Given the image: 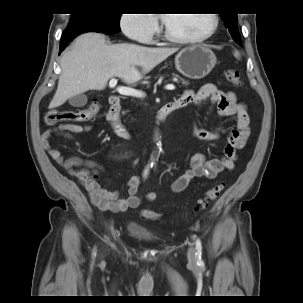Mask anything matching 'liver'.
<instances>
[{
    "mask_svg": "<svg viewBox=\"0 0 303 303\" xmlns=\"http://www.w3.org/2000/svg\"><path fill=\"white\" fill-rule=\"evenodd\" d=\"M176 51L177 48H151L127 43L109 45L102 34H82L62 56L61 75L49 108L59 107L71 97L88 90H103L113 77L134 84Z\"/></svg>",
    "mask_w": 303,
    "mask_h": 303,
    "instance_id": "obj_1",
    "label": "liver"
}]
</instances>
